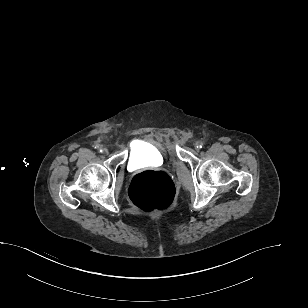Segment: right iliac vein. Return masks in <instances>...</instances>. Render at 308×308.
<instances>
[{"instance_id":"63e3f726","label":"right iliac vein","mask_w":308,"mask_h":308,"mask_svg":"<svg viewBox=\"0 0 308 308\" xmlns=\"http://www.w3.org/2000/svg\"><path fill=\"white\" fill-rule=\"evenodd\" d=\"M103 153L107 154L108 150L106 148L103 149Z\"/></svg>"}]
</instances>
